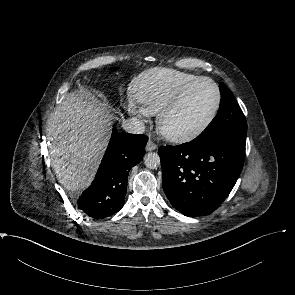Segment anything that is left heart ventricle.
<instances>
[{
  "mask_svg": "<svg viewBox=\"0 0 295 295\" xmlns=\"http://www.w3.org/2000/svg\"><path fill=\"white\" fill-rule=\"evenodd\" d=\"M217 100L214 86L207 81L195 85L179 106L167 116L164 131L173 136L188 134L199 128L211 115Z\"/></svg>",
  "mask_w": 295,
  "mask_h": 295,
  "instance_id": "b2bd125f",
  "label": "left heart ventricle"
}]
</instances>
